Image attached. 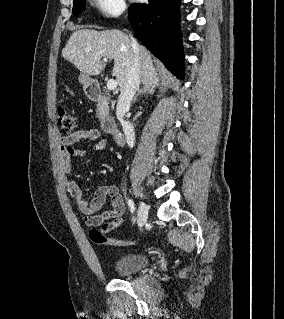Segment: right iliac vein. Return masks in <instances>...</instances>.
<instances>
[{
	"label": "right iliac vein",
	"mask_w": 284,
	"mask_h": 319,
	"mask_svg": "<svg viewBox=\"0 0 284 319\" xmlns=\"http://www.w3.org/2000/svg\"><path fill=\"white\" fill-rule=\"evenodd\" d=\"M148 218V206L146 203L141 202L137 212V224L138 226H143Z\"/></svg>",
	"instance_id": "1"
}]
</instances>
